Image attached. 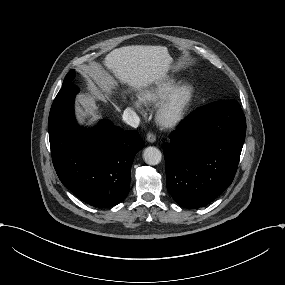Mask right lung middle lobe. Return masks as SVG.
I'll return each instance as SVG.
<instances>
[{
  "label": "right lung middle lobe",
  "instance_id": "right-lung-middle-lobe-1",
  "mask_svg": "<svg viewBox=\"0 0 285 285\" xmlns=\"http://www.w3.org/2000/svg\"><path fill=\"white\" fill-rule=\"evenodd\" d=\"M74 75H75L74 70H71V71L66 75L62 87H64V86L70 84L71 81H72L73 78H74Z\"/></svg>",
  "mask_w": 285,
  "mask_h": 285
}]
</instances>
